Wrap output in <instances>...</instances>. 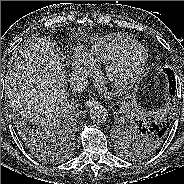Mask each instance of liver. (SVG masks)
Segmentation results:
<instances>
[{"mask_svg":"<svg viewBox=\"0 0 184 184\" xmlns=\"http://www.w3.org/2000/svg\"><path fill=\"white\" fill-rule=\"evenodd\" d=\"M7 70L5 96L15 111L44 124L66 99L62 62L54 45L34 37L13 54Z\"/></svg>","mask_w":184,"mask_h":184,"instance_id":"liver-1","label":"liver"}]
</instances>
